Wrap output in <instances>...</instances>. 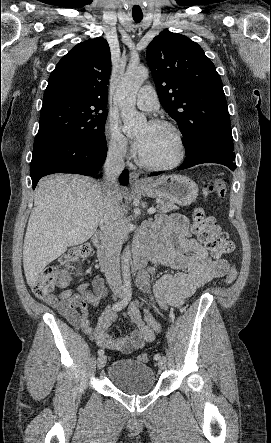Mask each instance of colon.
Returning <instances> with one entry per match:
<instances>
[{
	"mask_svg": "<svg viewBox=\"0 0 271 443\" xmlns=\"http://www.w3.org/2000/svg\"><path fill=\"white\" fill-rule=\"evenodd\" d=\"M206 190L223 198L227 190L226 182L223 179H214L207 184ZM192 230L213 256L220 257L234 249L233 242L229 239L228 234L217 225L215 218L201 209L196 210L193 215ZM90 253L91 245L85 243L71 249L59 264L44 268L31 286L33 294L38 298L45 299L51 295L54 289L65 286L68 282L66 267L88 257ZM236 276L237 271L232 267L226 275L225 282L227 284L233 283ZM137 359L141 362H148L150 357L146 353H140Z\"/></svg>",
	"mask_w": 271,
	"mask_h": 443,
	"instance_id": "obj_1",
	"label": "colon"
}]
</instances>
